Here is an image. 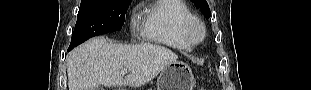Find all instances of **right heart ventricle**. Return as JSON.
Returning a JSON list of instances; mask_svg holds the SVG:
<instances>
[{
    "instance_id": "obj_1",
    "label": "right heart ventricle",
    "mask_w": 311,
    "mask_h": 90,
    "mask_svg": "<svg viewBox=\"0 0 311 90\" xmlns=\"http://www.w3.org/2000/svg\"><path fill=\"white\" fill-rule=\"evenodd\" d=\"M195 15L181 0H158L142 13L141 32L143 37L174 49L190 51L191 44L184 36V26Z\"/></svg>"
}]
</instances>
